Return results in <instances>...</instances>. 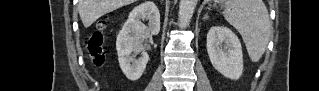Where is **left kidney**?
I'll return each mask as SVG.
<instances>
[{"instance_id": "1", "label": "left kidney", "mask_w": 319, "mask_h": 91, "mask_svg": "<svg viewBox=\"0 0 319 91\" xmlns=\"http://www.w3.org/2000/svg\"><path fill=\"white\" fill-rule=\"evenodd\" d=\"M207 52L213 67L226 78L237 80L243 73L240 40L225 26H213L207 34Z\"/></svg>"}]
</instances>
